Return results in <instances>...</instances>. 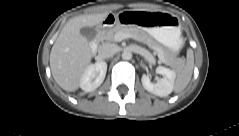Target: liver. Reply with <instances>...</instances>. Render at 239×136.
<instances>
[{
  "instance_id": "6515ba94",
  "label": "liver",
  "mask_w": 239,
  "mask_h": 136,
  "mask_svg": "<svg viewBox=\"0 0 239 136\" xmlns=\"http://www.w3.org/2000/svg\"><path fill=\"white\" fill-rule=\"evenodd\" d=\"M108 13L80 15L63 27L50 53V68L56 83L65 91L74 92L89 66L94 51L80 30L93 27L106 19Z\"/></svg>"
}]
</instances>
